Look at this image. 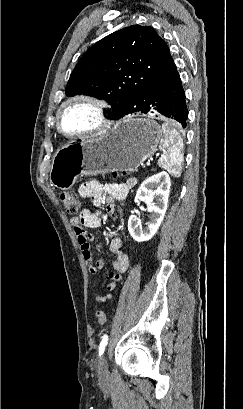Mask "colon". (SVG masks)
<instances>
[{"label": "colon", "mask_w": 243, "mask_h": 409, "mask_svg": "<svg viewBox=\"0 0 243 409\" xmlns=\"http://www.w3.org/2000/svg\"><path fill=\"white\" fill-rule=\"evenodd\" d=\"M60 199L69 214L76 215L79 212L81 202L76 195L70 192H62L60 194ZM95 317L100 325L105 324L107 321L106 313L102 309H98L95 312Z\"/></svg>", "instance_id": "1"}]
</instances>
